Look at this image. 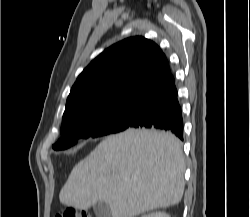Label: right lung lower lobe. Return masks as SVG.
I'll return each instance as SVG.
<instances>
[{
    "label": "right lung lower lobe",
    "instance_id": "obj_1",
    "mask_svg": "<svg viewBox=\"0 0 250 217\" xmlns=\"http://www.w3.org/2000/svg\"><path fill=\"white\" fill-rule=\"evenodd\" d=\"M156 128L183 140V118L174 78L143 95L128 128Z\"/></svg>",
    "mask_w": 250,
    "mask_h": 217
}]
</instances>
